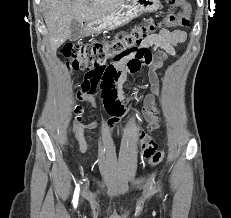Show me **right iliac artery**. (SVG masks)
<instances>
[{
    "mask_svg": "<svg viewBox=\"0 0 231 218\" xmlns=\"http://www.w3.org/2000/svg\"><path fill=\"white\" fill-rule=\"evenodd\" d=\"M78 196H79V184L76 186V189H75V192H74V198H73V205H74V207L77 206Z\"/></svg>",
    "mask_w": 231,
    "mask_h": 218,
    "instance_id": "right-iliac-artery-1",
    "label": "right iliac artery"
}]
</instances>
